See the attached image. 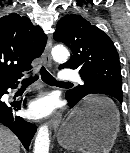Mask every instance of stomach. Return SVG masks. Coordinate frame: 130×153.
Returning <instances> with one entry per match:
<instances>
[{"instance_id":"stomach-1","label":"stomach","mask_w":130,"mask_h":153,"mask_svg":"<svg viewBox=\"0 0 130 153\" xmlns=\"http://www.w3.org/2000/svg\"><path fill=\"white\" fill-rule=\"evenodd\" d=\"M120 128L114 103L105 97H89L73 109L57 134L59 144L83 153H109Z\"/></svg>"}]
</instances>
